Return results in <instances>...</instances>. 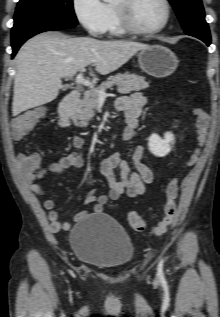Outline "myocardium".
I'll use <instances>...</instances> for the list:
<instances>
[{"instance_id":"myocardium-1","label":"myocardium","mask_w":220,"mask_h":317,"mask_svg":"<svg viewBox=\"0 0 220 317\" xmlns=\"http://www.w3.org/2000/svg\"><path fill=\"white\" fill-rule=\"evenodd\" d=\"M134 0H120V5H114V12L120 28L127 34L133 36H151L163 31L169 24L172 16V6L169 0H161L165 7L163 22L153 29H140L136 27L131 19L130 7Z\"/></svg>"}]
</instances>
